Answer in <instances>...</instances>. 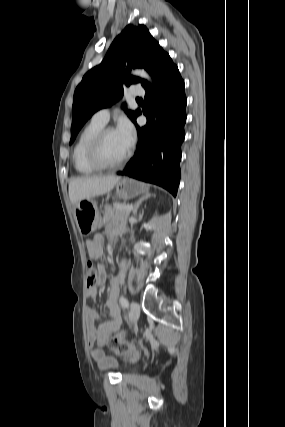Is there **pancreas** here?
<instances>
[{"label": "pancreas", "instance_id": "1", "mask_svg": "<svg viewBox=\"0 0 285 427\" xmlns=\"http://www.w3.org/2000/svg\"><path fill=\"white\" fill-rule=\"evenodd\" d=\"M113 213H114L113 221L125 222L130 214V211L127 210V205L122 203V204L114 205Z\"/></svg>", "mask_w": 285, "mask_h": 427}]
</instances>
